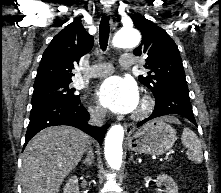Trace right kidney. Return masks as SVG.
<instances>
[{
    "label": "right kidney",
    "mask_w": 221,
    "mask_h": 193,
    "mask_svg": "<svg viewBox=\"0 0 221 193\" xmlns=\"http://www.w3.org/2000/svg\"><path fill=\"white\" fill-rule=\"evenodd\" d=\"M63 193H80L78 187V179L76 176H72L64 187Z\"/></svg>",
    "instance_id": "obj_1"
}]
</instances>
